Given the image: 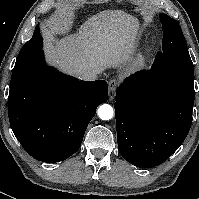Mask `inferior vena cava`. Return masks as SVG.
<instances>
[{
	"instance_id": "1",
	"label": "inferior vena cava",
	"mask_w": 199,
	"mask_h": 199,
	"mask_svg": "<svg viewBox=\"0 0 199 199\" xmlns=\"http://www.w3.org/2000/svg\"><path fill=\"white\" fill-rule=\"evenodd\" d=\"M102 72L100 67H91L83 69L79 72V77L85 81H93L98 78V75Z\"/></svg>"
}]
</instances>
